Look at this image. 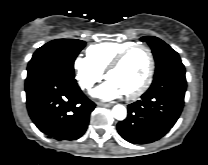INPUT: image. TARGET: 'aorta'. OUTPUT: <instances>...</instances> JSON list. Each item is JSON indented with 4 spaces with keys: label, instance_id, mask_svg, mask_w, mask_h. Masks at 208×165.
<instances>
[{
    "label": "aorta",
    "instance_id": "aorta-1",
    "mask_svg": "<svg viewBox=\"0 0 208 165\" xmlns=\"http://www.w3.org/2000/svg\"><path fill=\"white\" fill-rule=\"evenodd\" d=\"M112 115L117 120H124L127 115V110L123 105L117 104L112 109Z\"/></svg>",
    "mask_w": 208,
    "mask_h": 165
}]
</instances>
